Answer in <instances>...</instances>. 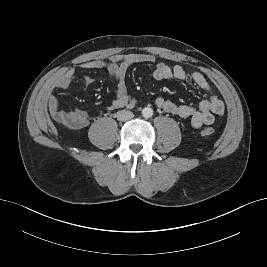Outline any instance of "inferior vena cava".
Instances as JSON below:
<instances>
[{"instance_id":"obj_1","label":"inferior vena cava","mask_w":267,"mask_h":267,"mask_svg":"<svg viewBox=\"0 0 267 267\" xmlns=\"http://www.w3.org/2000/svg\"><path fill=\"white\" fill-rule=\"evenodd\" d=\"M134 117V114L127 110H121L117 112V119L119 121H128Z\"/></svg>"}]
</instances>
